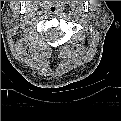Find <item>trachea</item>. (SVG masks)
I'll list each match as a JSON object with an SVG mask.
<instances>
[{
  "instance_id": "trachea-1",
  "label": "trachea",
  "mask_w": 121,
  "mask_h": 121,
  "mask_svg": "<svg viewBox=\"0 0 121 121\" xmlns=\"http://www.w3.org/2000/svg\"><path fill=\"white\" fill-rule=\"evenodd\" d=\"M48 11L51 13V14H56L59 12V6L57 5V3H51L48 7Z\"/></svg>"
}]
</instances>
